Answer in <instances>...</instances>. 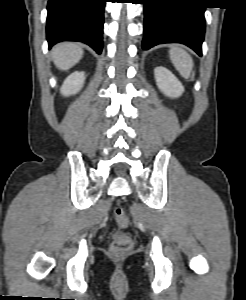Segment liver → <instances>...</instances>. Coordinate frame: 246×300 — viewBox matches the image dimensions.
<instances>
[{"instance_id": "6515ba94", "label": "liver", "mask_w": 246, "mask_h": 300, "mask_svg": "<svg viewBox=\"0 0 246 300\" xmlns=\"http://www.w3.org/2000/svg\"><path fill=\"white\" fill-rule=\"evenodd\" d=\"M51 54L57 68L68 70L80 61L83 56V50L76 43L64 42L56 45Z\"/></svg>"}]
</instances>
